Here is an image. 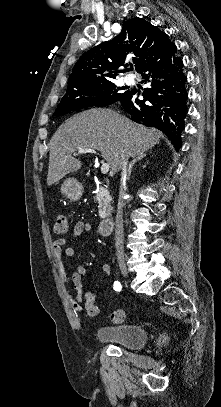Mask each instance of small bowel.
I'll return each mask as SVG.
<instances>
[{
	"instance_id": "obj_1",
	"label": "small bowel",
	"mask_w": 221,
	"mask_h": 407,
	"mask_svg": "<svg viewBox=\"0 0 221 407\" xmlns=\"http://www.w3.org/2000/svg\"><path fill=\"white\" fill-rule=\"evenodd\" d=\"M91 230L92 227L90 224L84 221H77L73 226L72 235L74 238H77L84 233L91 232ZM53 253L58 260V274L61 283L65 286L72 284L76 291L75 297L68 294L71 307L75 312L81 313L83 311L84 300L86 297L83 294V284L87 279V271L82 266L70 271V260L74 255V249L69 246V241L67 239H57L53 244ZM64 259L66 260V263L63 262ZM110 272L111 270L108 265H104L102 267V274L104 276H109Z\"/></svg>"
}]
</instances>
